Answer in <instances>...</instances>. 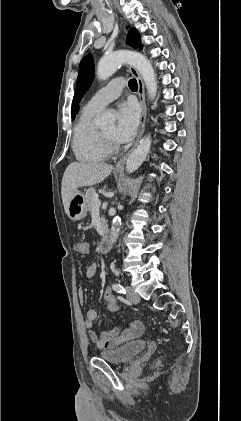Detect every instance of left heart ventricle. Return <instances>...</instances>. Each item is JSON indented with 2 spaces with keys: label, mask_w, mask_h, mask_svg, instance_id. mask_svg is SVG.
I'll list each match as a JSON object with an SVG mask.
<instances>
[{
  "label": "left heart ventricle",
  "mask_w": 241,
  "mask_h": 421,
  "mask_svg": "<svg viewBox=\"0 0 241 421\" xmlns=\"http://www.w3.org/2000/svg\"><path fill=\"white\" fill-rule=\"evenodd\" d=\"M102 132H103L106 136H108V137H110V138L114 139L115 127H114V126H110V127H108V128H105Z\"/></svg>",
  "instance_id": "left-heart-ventricle-1"
}]
</instances>
